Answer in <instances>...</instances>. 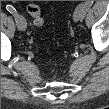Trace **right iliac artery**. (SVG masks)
I'll use <instances>...</instances> for the list:
<instances>
[{
	"label": "right iliac artery",
	"mask_w": 109,
	"mask_h": 109,
	"mask_svg": "<svg viewBox=\"0 0 109 109\" xmlns=\"http://www.w3.org/2000/svg\"><path fill=\"white\" fill-rule=\"evenodd\" d=\"M6 9H7L11 14H13V16H14L15 19H16L17 26H18L19 14L17 13L16 9H15L13 6H11V5H6Z\"/></svg>",
	"instance_id": "obj_1"
}]
</instances>
